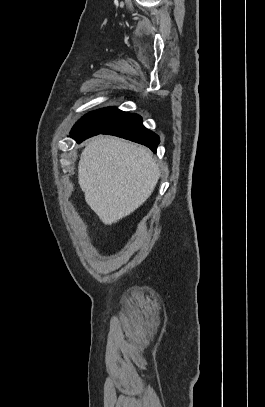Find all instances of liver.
Returning a JSON list of instances; mask_svg holds the SVG:
<instances>
[{"label": "liver", "instance_id": "6515ba94", "mask_svg": "<svg viewBox=\"0 0 265 407\" xmlns=\"http://www.w3.org/2000/svg\"><path fill=\"white\" fill-rule=\"evenodd\" d=\"M159 177L149 149L116 137L99 135L90 140L78 164V182L86 202L105 225L139 208Z\"/></svg>", "mask_w": 265, "mask_h": 407}]
</instances>
